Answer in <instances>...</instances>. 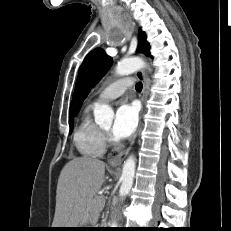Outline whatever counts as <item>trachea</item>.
<instances>
[{"instance_id": "trachea-1", "label": "trachea", "mask_w": 231, "mask_h": 231, "mask_svg": "<svg viewBox=\"0 0 231 231\" xmlns=\"http://www.w3.org/2000/svg\"><path fill=\"white\" fill-rule=\"evenodd\" d=\"M142 83H137L136 86H135V89L138 91V92H141L142 91Z\"/></svg>"}]
</instances>
